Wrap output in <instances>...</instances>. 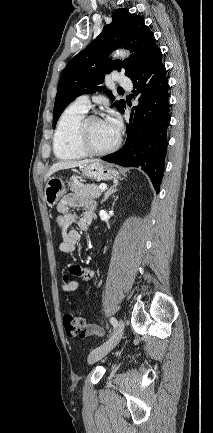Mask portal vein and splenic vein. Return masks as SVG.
I'll return each mask as SVG.
<instances>
[{
  "instance_id": "portal-vein-and-splenic-vein-1",
  "label": "portal vein and splenic vein",
  "mask_w": 213,
  "mask_h": 433,
  "mask_svg": "<svg viewBox=\"0 0 213 433\" xmlns=\"http://www.w3.org/2000/svg\"><path fill=\"white\" fill-rule=\"evenodd\" d=\"M107 188V185L106 184H101L100 186H99V189L100 190H105Z\"/></svg>"
}]
</instances>
